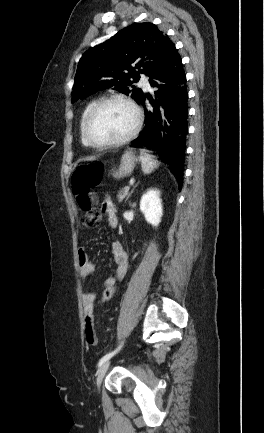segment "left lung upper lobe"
<instances>
[{
  "instance_id": "obj_1",
  "label": "left lung upper lobe",
  "mask_w": 264,
  "mask_h": 433,
  "mask_svg": "<svg viewBox=\"0 0 264 433\" xmlns=\"http://www.w3.org/2000/svg\"><path fill=\"white\" fill-rule=\"evenodd\" d=\"M175 49L169 37L152 23H135L120 30L83 54L75 75L72 103L106 88L131 95L138 103L143 92L133 83L139 81V73L152 76Z\"/></svg>"
}]
</instances>
